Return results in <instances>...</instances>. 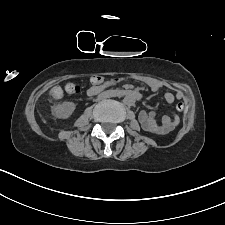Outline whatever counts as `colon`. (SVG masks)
I'll use <instances>...</instances> for the list:
<instances>
[{"instance_id":"colon-1","label":"colon","mask_w":225,"mask_h":225,"mask_svg":"<svg viewBox=\"0 0 225 225\" xmlns=\"http://www.w3.org/2000/svg\"><path fill=\"white\" fill-rule=\"evenodd\" d=\"M108 81H111V82H116L117 79H107L103 76H93L91 78V83L94 84V85H100V84H103V83H106ZM66 93L67 95H75L77 93L80 92V86L75 83V82H67L65 85H64V88H62L60 85H57L55 86L54 88H52L51 90V96L52 98L54 99H60L62 96H63V93ZM184 109V104L183 102H178L177 104V110L178 111H183Z\"/></svg>"}]
</instances>
